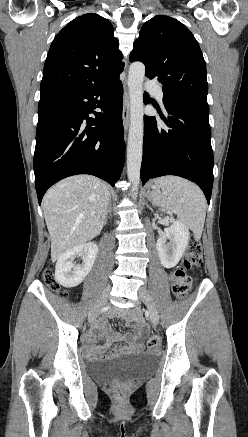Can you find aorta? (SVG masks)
<instances>
[{
  "label": "aorta",
  "instance_id": "obj_1",
  "mask_svg": "<svg viewBox=\"0 0 248 437\" xmlns=\"http://www.w3.org/2000/svg\"><path fill=\"white\" fill-rule=\"evenodd\" d=\"M145 66L134 62L129 68L128 88L130 97V126L127 143V175L132 183L131 195L135 199L140 183V168L143 156L144 105L143 81Z\"/></svg>",
  "mask_w": 248,
  "mask_h": 437
}]
</instances>
